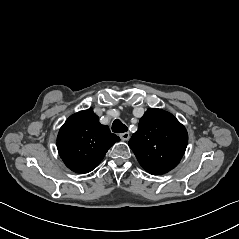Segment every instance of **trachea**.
<instances>
[{
	"mask_svg": "<svg viewBox=\"0 0 239 239\" xmlns=\"http://www.w3.org/2000/svg\"><path fill=\"white\" fill-rule=\"evenodd\" d=\"M112 131L115 133H124L128 131V128L119 119H115L112 124Z\"/></svg>",
	"mask_w": 239,
	"mask_h": 239,
	"instance_id": "obj_1",
	"label": "trachea"
}]
</instances>
